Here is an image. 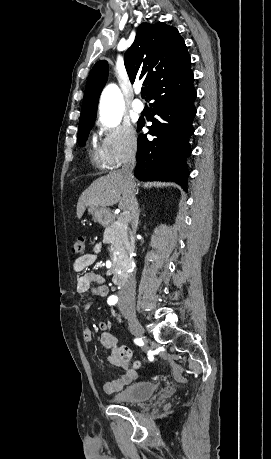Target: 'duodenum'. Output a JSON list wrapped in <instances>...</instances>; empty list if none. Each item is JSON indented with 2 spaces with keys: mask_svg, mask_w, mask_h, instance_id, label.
<instances>
[{
  "mask_svg": "<svg viewBox=\"0 0 271 459\" xmlns=\"http://www.w3.org/2000/svg\"><path fill=\"white\" fill-rule=\"evenodd\" d=\"M130 273L127 271H119L115 273L113 281L118 286H123L127 283Z\"/></svg>",
  "mask_w": 271,
  "mask_h": 459,
  "instance_id": "1",
  "label": "duodenum"
}]
</instances>
